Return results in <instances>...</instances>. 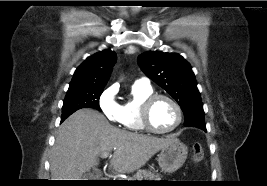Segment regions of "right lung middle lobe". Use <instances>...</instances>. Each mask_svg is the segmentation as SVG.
Here are the masks:
<instances>
[{
  "mask_svg": "<svg viewBox=\"0 0 267 186\" xmlns=\"http://www.w3.org/2000/svg\"><path fill=\"white\" fill-rule=\"evenodd\" d=\"M102 92L103 89L68 90L63 102L61 121L82 108H92L101 111L99 98Z\"/></svg>",
  "mask_w": 267,
  "mask_h": 186,
  "instance_id": "1",
  "label": "right lung middle lobe"
}]
</instances>
